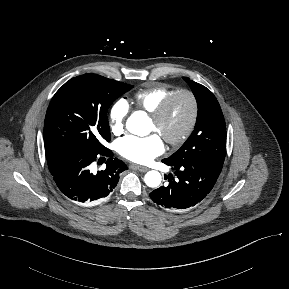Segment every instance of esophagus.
<instances>
[{
  "label": "esophagus",
  "instance_id": "1",
  "mask_svg": "<svg viewBox=\"0 0 289 289\" xmlns=\"http://www.w3.org/2000/svg\"><path fill=\"white\" fill-rule=\"evenodd\" d=\"M131 167H132V168H135V169H137V170H139V171H141V172H146V171L149 170L148 167L141 166V165H137V164H131Z\"/></svg>",
  "mask_w": 289,
  "mask_h": 289
}]
</instances>
